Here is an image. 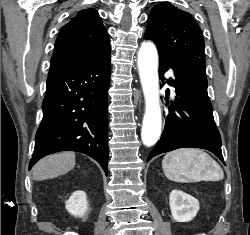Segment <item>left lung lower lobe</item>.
I'll return each mask as SVG.
<instances>
[{"instance_id":"1","label":"left lung lower lobe","mask_w":250,"mask_h":235,"mask_svg":"<svg viewBox=\"0 0 250 235\" xmlns=\"http://www.w3.org/2000/svg\"><path fill=\"white\" fill-rule=\"evenodd\" d=\"M160 74L173 69L167 79L175 88L161 139L148 159L178 148L194 147L214 153L224 164L221 137L213 118V107L207 93L206 63L200 58L172 61L159 58ZM170 90H166V100Z\"/></svg>"}]
</instances>
